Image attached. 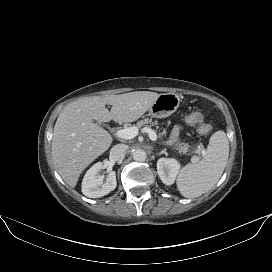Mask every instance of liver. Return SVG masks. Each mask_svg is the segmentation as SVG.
<instances>
[{
  "label": "liver",
  "instance_id": "1",
  "mask_svg": "<svg viewBox=\"0 0 272 272\" xmlns=\"http://www.w3.org/2000/svg\"><path fill=\"white\" fill-rule=\"evenodd\" d=\"M159 94L135 91L82 98L64 107L54 126L52 157L62 179L72 188L82 171L112 144L111 136L94 123L134 122L150 109ZM112 105L109 111L105 105Z\"/></svg>",
  "mask_w": 272,
  "mask_h": 272
}]
</instances>
